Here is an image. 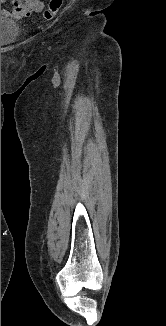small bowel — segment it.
I'll return each instance as SVG.
<instances>
[{
	"instance_id": "small-bowel-1",
	"label": "small bowel",
	"mask_w": 166,
	"mask_h": 326,
	"mask_svg": "<svg viewBox=\"0 0 166 326\" xmlns=\"http://www.w3.org/2000/svg\"><path fill=\"white\" fill-rule=\"evenodd\" d=\"M6 0H1V3ZM44 8L42 0H12V9L10 11L4 10L3 15H9L13 19H22L31 15L32 13L41 12Z\"/></svg>"
}]
</instances>
